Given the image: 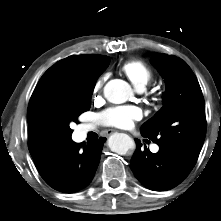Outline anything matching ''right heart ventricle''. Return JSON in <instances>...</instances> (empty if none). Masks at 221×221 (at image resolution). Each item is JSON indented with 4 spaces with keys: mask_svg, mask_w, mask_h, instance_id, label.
Segmentation results:
<instances>
[{
    "mask_svg": "<svg viewBox=\"0 0 221 221\" xmlns=\"http://www.w3.org/2000/svg\"><path fill=\"white\" fill-rule=\"evenodd\" d=\"M123 72L135 85L136 88H145L152 79V71L149 66L141 60H131L122 66Z\"/></svg>",
    "mask_w": 221,
    "mask_h": 221,
    "instance_id": "e07e8e85",
    "label": "right heart ventricle"
}]
</instances>
